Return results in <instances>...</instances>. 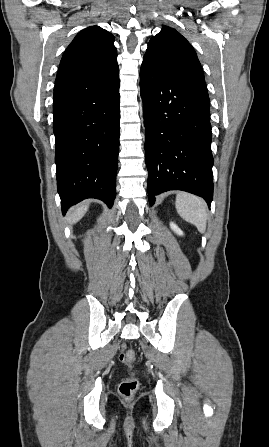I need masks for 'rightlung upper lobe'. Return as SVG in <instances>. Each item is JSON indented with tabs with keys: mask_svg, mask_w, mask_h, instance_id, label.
<instances>
[{
	"mask_svg": "<svg viewBox=\"0 0 269 447\" xmlns=\"http://www.w3.org/2000/svg\"><path fill=\"white\" fill-rule=\"evenodd\" d=\"M114 36L98 26L77 34L60 62L55 83L104 76L118 68Z\"/></svg>",
	"mask_w": 269,
	"mask_h": 447,
	"instance_id": "right-lung-upper-lobe-1",
	"label": "right lung upper lobe"
}]
</instances>
